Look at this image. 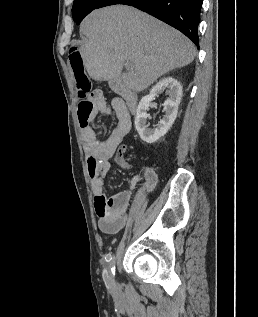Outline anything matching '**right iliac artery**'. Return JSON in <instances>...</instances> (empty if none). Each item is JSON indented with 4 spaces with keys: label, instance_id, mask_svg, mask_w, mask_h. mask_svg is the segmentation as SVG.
Returning <instances> with one entry per match:
<instances>
[{
    "label": "right iliac artery",
    "instance_id": "1",
    "mask_svg": "<svg viewBox=\"0 0 258 317\" xmlns=\"http://www.w3.org/2000/svg\"><path fill=\"white\" fill-rule=\"evenodd\" d=\"M115 263L116 258L114 257L110 263V280L105 281V285L111 293H113L115 289Z\"/></svg>",
    "mask_w": 258,
    "mask_h": 317
}]
</instances>
